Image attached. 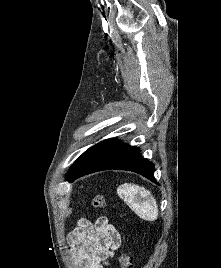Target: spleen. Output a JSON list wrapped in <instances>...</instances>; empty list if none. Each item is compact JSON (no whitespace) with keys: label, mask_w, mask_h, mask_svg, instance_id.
Listing matches in <instances>:
<instances>
[{"label":"spleen","mask_w":221,"mask_h":268,"mask_svg":"<svg viewBox=\"0 0 221 268\" xmlns=\"http://www.w3.org/2000/svg\"><path fill=\"white\" fill-rule=\"evenodd\" d=\"M117 194L142 219L154 221L158 207L151 192L136 184L124 183L117 188Z\"/></svg>","instance_id":"spleen-1"}]
</instances>
